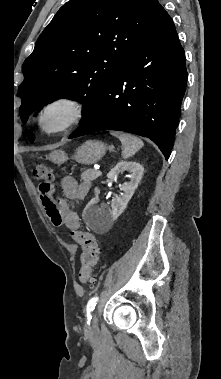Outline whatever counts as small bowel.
Returning <instances> with one entry per match:
<instances>
[{"label": "small bowel", "instance_id": "small-bowel-1", "mask_svg": "<svg viewBox=\"0 0 221 379\" xmlns=\"http://www.w3.org/2000/svg\"><path fill=\"white\" fill-rule=\"evenodd\" d=\"M61 188L67 199L79 201L84 199L88 194L90 183L88 181L79 182L72 176H66L61 180ZM40 198L53 225H64L71 231L79 230L80 218L69 207L66 200H56L53 198L52 189L47 194L40 193Z\"/></svg>", "mask_w": 221, "mask_h": 379}]
</instances>
